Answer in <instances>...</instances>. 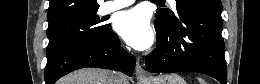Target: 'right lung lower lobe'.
<instances>
[{"label":"right lung lower lobe","instance_id":"98d812e1","mask_svg":"<svg viewBox=\"0 0 260 84\" xmlns=\"http://www.w3.org/2000/svg\"><path fill=\"white\" fill-rule=\"evenodd\" d=\"M86 67L113 69L132 76L135 58L121 47L118 36L110 29L104 41L80 42L65 49L46 65L45 82L54 84L62 76Z\"/></svg>","mask_w":260,"mask_h":84}]
</instances>
